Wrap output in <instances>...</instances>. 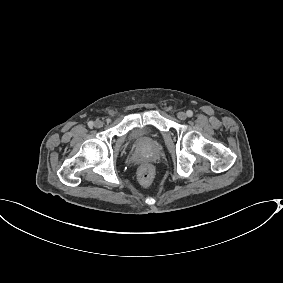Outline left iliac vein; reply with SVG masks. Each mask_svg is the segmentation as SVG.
Instances as JSON below:
<instances>
[{
    "label": "left iliac vein",
    "instance_id": "4c4485c4",
    "mask_svg": "<svg viewBox=\"0 0 283 283\" xmlns=\"http://www.w3.org/2000/svg\"><path fill=\"white\" fill-rule=\"evenodd\" d=\"M177 117L180 120H185L187 118V114L181 111V112H178Z\"/></svg>",
    "mask_w": 283,
    "mask_h": 283
}]
</instances>
